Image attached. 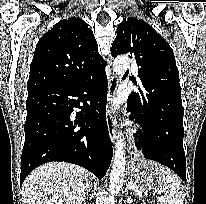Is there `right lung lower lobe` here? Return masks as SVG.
Here are the masks:
<instances>
[{
  "label": "right lung lower lobe",
  "mask_w": 206,
  "mask_h": 204,
  "mask_svg": "<svg viewBox=\"0 0 206 204\" xmlns=\"http://www.w3.org/2000/svg\"><path fill=\"white\" fill-rule=\"evenodd\" d=\"M106 102L104 67L75 85L29 93L20 184L33 169L50 161L80 165L101 179L113 155ZM74 108L81 111L74 114Z\"/></svg>",
  "instance_id": "1"
}]
</instances>
